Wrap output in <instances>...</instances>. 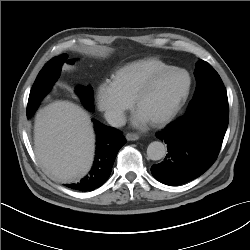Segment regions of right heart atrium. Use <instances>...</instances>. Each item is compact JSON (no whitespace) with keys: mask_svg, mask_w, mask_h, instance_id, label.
<instances>
[{"mask_svg":"<svg viewBox=\"0 0 250 250\" xmlns=\"http://www.w3.org/2000/svg\"><path fill=\"white\" fill-rule=\"evenodd\" d=\"M96 101L99 110L113 125H121L133 105V100L118 91L111 81H103L98 85Z\"/></svg>","mask_w":250,"mask_h":250,"instance_id":"d8ad5b80","label":"right heart atrium"}]
</instances>
